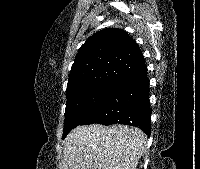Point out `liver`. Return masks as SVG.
<instances>
[{
    "label": "liver",
    "mask_w": 200,
    "mask_h": 169,
    "mask_svg": "<svg viewBox=\"0 0 200 169\" xmlns=\"http://www.w3.org/2000/svg\"><path fill=\"white\" fill-rule=\"evenodd\" d=\"M145 146L146 135L139 128L78 126L65 138L62 169H136Z\"/></svg>",
    "instance_id": "liver-1"
}]
</instances>
